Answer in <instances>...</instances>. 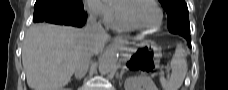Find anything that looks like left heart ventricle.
<instances>
[{
    "instance_id": "left-heart-ventricle-1",
    "label": "left heart ventricle",
    "mask_w": 228,
    "mask_h": 90,
    "mask_svg": "<svg viewBox=\"0 0 228 90\" xmlns=\"http://www.w3.org/2000/svg\"><path fill=\"white\" fill-rule=\"evenodd\" d=\"M125 15L133 24L143 28H154L159 22V13L156 7L147 0H140L128 5Z\"/></svg>"
}]
</instances>
